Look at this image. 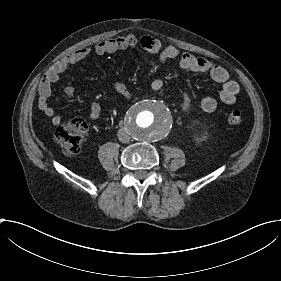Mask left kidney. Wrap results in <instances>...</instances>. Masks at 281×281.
I'll use <instances>...</instances> for the list:
<instances>
[{
    "label": "left kidney",
    "mask_w": 281,
    "mask_h": 281,
    "mask_svg": "<svg viewBox=\"0 0 281 281\" xmlns=\"http://www.w3.org/2000/svg\"><path fill=\"white\" fill-rule=\"evenodd\" d=\"M199 128L201 129V130H203L204 129V126L203 125H199ZM207 133H206V131H203L202 132V139H204V140H206L207 139Z\"/></svg>",
    "instance_id": "1"
}]
</instances>
